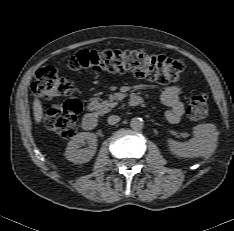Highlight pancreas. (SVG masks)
I'll use <instances>...</instances> for the list:
<instances>
[{
    "label": "pancreas",
    "instance_id": "pancreas-1",
    "mask_svg": "<svg viewBox=\"0 0 234 231\" xmlns=\"http://www.w3.org/2000/svg\"><path fill=\"white\" fill-rule=\"evenodd\" d=\"M117 102L105 100L102 102L98 101V98H92L89 103V109L95 110L98 114L102 115L110 112L111 108L115 107Z\"/></svg>",
    "mask_w": 234,
    "mask_h": 231
}]
</instances>
